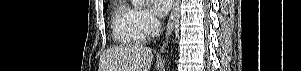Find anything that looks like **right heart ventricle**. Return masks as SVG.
<instances>
[{"label":"right heart ventricle","instance_id":"e07e8e85","mask_svg":"<svg viewBox=\"0 0 301 71\" xmlns=\"http://www.w3.org/2000/svg\"><path fill=\"white\" fill-rule=\"evenodd\" d=\"M111 29L114 40L123 45L141 44L146 39L138 21V10L126 2L116 6Z\"/></svg>","mask_w":301,"mask_h":71}]
</instances>
